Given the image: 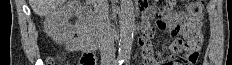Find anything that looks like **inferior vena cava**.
Wrapping results in <instances>:
<instances>
[{"label":"inferior vena cava","instance_id":"602c4592","mask_svg":"<svg viewBox=\"0 0 232 65\" xmlns=\"http://www.w3.org/2000/svg\"><path fill=\"white\" fill-rule=\"evenodd\" d=\"M95 11L101 57L106 61H114L115 47L109 20V6L107 0H92Z\"/></svg>","mask_w":232,"mask_h":65}]
</instances>
